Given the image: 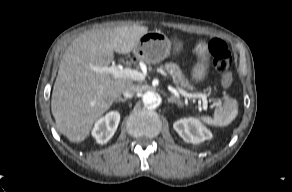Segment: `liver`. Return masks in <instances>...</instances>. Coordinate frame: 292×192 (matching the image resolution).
Masks as SVG:
<instances>
[{
  "instance_id": "6515ba94",
  "label": "liver",
  "mask_w": 292,
  "mask_h": 192,
  "mask_svg": "<svg viewBox=\"0 0 292 192\" xmlns=\"http://www.w3.org/2000/svg\"><path fill=\"white\" fill-rule=\"evenodd\" d=\"M146 33L145 26H121L85 32L62 57L53 86L51 111L58 130L71 142L85 140L97 120L120 97L129 78H114L95 67L109 66L114 52L128 54Z\"/></svg>"
}]
</instances>
